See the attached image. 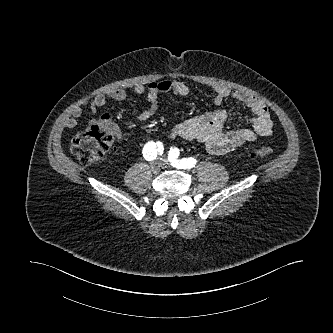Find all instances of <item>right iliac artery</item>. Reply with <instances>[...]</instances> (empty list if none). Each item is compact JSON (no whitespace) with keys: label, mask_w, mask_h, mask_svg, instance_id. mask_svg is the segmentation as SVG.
<instances>
[{"label":"right iliac artery","mask_w":333,"mask_h":333,"mask_svg":"<svg viewBox=\"0 0 333 333\" xmlns=\"http://www.w3.org/2000/svg\"><path fill=\"white\" fill-rule=\"evenodd\" d=\"M163 150L164 148L161 142L155 143L153 141H150L144 146L142 153L146 160L152 161L156 159L157 155H161L163 153Z\"/></svg>","instance_id":"82829eb1"}]
</instances>
